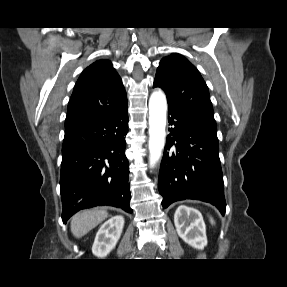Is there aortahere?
I'll return each mask as SVG.
<instances>
[{
	"instance_id": "obj_1",
	"label": "aorta",
	"mask_w": 287,
	"mask_h": 287,
	"mask_svg": "<svg viewBox=\"0 0 287 287\" xmlns=\"http://www.w3.org/2000/svg\"><path fill=\"white\" fill-rule=\"evenodd\" d=\"M167 100L163 91L155 90L149 99V165L153 168L165 145Z\"/></svg>"
}]
</instances>
